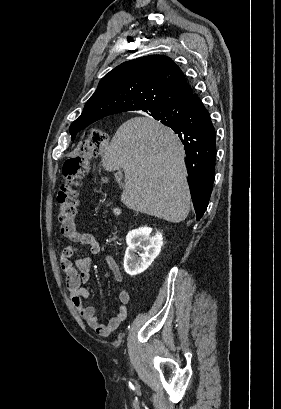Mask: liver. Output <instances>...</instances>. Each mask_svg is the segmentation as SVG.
<instances>
[{
	"mask_svg": "<svg viewBox=\"0 0 281 409\" xmlns=\"http://www.w3.org/2000/svg\"><path fill=\"white\" fill-rule=\"evenodd\" d=\"M105 170L123 168V205L170 223L185 221L190 188L183 146L171 128L150 116H134L116 130L104 152Z\"/></svg>",
	"mask_w": 281,
	"mask_h": 409,
	"instance_id": "6515ba94",
	"label": "liver"
}]
</instances>
